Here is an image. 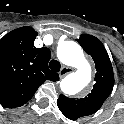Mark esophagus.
<instances>
[{
  "mask_svg": "<svg viewBox=\"0 0 124 124\" xmlns=\"http://www.w3.org/2000/svg\"><path fill=\"white\" fill-rule=\"evenodd\" d=\"M72 71H73V68L71 67H63L59 72V76L60 78H63L64 76L71 73Z\"/></svg>",
  "mask_w": 124,
  "mask_h": 124,
  "instance_id": "obj_1",
  "label": "esophagus"
}]
</instances>
